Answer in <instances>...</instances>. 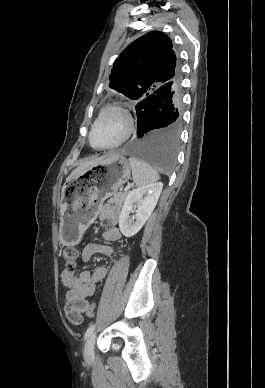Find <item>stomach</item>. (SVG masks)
I'll return each mask as SVG.
<instances>
[{
    "label": "stomach",
    "mask_w": 265,
    "mask_h": 388,
    "mask_svg": "<svg viewBox=\"0 0 265 388\" xmlns=\"http://www.w3.org/2000/svg\"><path fill=\"white\" fill-rule=\"evenodd\" d=\"M130 164L121 154L105 156L74 175L62 188L59 235L63 244L80 242L103 202L130 178Z\"/></svg>",
    "instance_id": "1"
}]
</instances>
